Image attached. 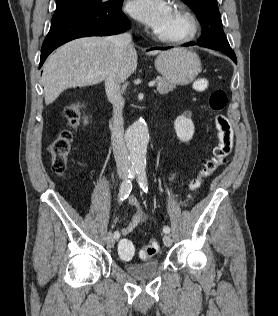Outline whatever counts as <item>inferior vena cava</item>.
<instances>
[{"label":"inferior vena cava","instance_id":"obj_1","mask_svg":"<svg viewBox=\"0 0 278 316\" xmlns=\"http://www.w3.org/2000/svg\"><path fill=\"white\" fill-rule=\"evenodd\" d=\"M112 44L114 45V60L117 61L122 57L124 50L131 45V34L125 32L119 35L110 37ZM114 62L111 65L110 70L107 72V78L105 80V89L109 101L113 104V126L111 134V142L116 161L117 171L119 173H125L130 168V159L128 156L127 148L124 142V120H123V108L124 99L120 91V82L115 79L114 74Z\"/></svg>","mask_w":278,"mask_h":316}]
</instances>
